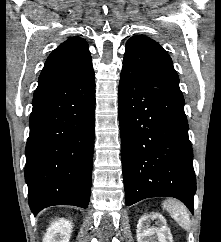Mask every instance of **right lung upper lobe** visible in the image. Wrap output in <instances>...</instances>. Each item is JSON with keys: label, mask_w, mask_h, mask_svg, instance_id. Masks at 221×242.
<instances>
[{"label": "right lung upper lobe", "mask_w": 221, "mask_h": 242, "mask_svg": "<svg viewBox=\"0 0 221 242\" xmlns=\"http://www.w3.org/2000/svg\"><path fill=\"white\" fill-rule=\"evenodd\" d=\"M92 71L87 42L79 37L69 38L47 58L34 95L74 84Z\"/></svg>", "instance_id": "1"}]
</instances>
